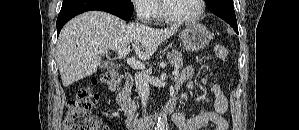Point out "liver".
<instances>
[{
    "mask_svg": "<svg viewBox=\"0 0 299 130\" xmlns=\"http://www.w3.org/2000/svg\"><path fill=\"white\" fill-rule=\"evenodd\" d=\"M178 26L154 29L126 24L102 11H88L70 20L61 30L57 62L64 87L94 74L101 64L100 51H116L132 44L136 55L148 60L159 45L173 36Z\"/></svg>",
    "mask_w": 299,
    "mask_h": 130,
    "instance_id": "1",
    "label": "liver"
}]
</instances>
